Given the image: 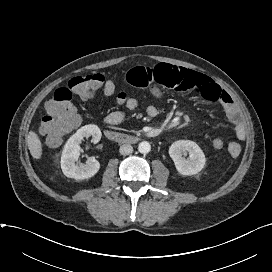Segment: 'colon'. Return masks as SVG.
<instances>
[{"mask_svg": "<svg viewBox=\"0 0 272 272\" xmlns=\"http://www.w3.org/2000/svg\"><path fill=\"white\" fill-rule=\"evenodd\" d=\"M100 88L108 96L116 92L115 84L100 73L74 77L66 87L55 90L45 104L46 115L40 125V133L49 145H59L67 132L79 123V115L72 102L73 94L79 95L84 100H90ZM116 102L128 110H135L140 105L137 98L126 92L117 93ZM212 147L221 150L225 143L222 139L215 138L212 140Z\"/></svg>", "mask_w": 272, "mask_h": 272, "instance_id": "obj_1", "label": "colon"}]
</instances>
